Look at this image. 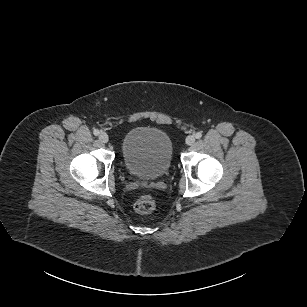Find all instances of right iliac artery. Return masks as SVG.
Segmentation results:
<instances>
[{"mask_svg":"<svg viewBox=\"0 0 307 307\" xmlns=\"http://www.w3.org/2000/svg\"><path fill=\"white\" fill-rule=\"evenodd\" d=\"M93 134L96 135V136L99 135V130H98V129H95V130L93 131Z\"/></svg>","mask_w":307,"mask_h":307,"instance_id":"82829eb1","label":"right iliac artery"}]
</instances>
